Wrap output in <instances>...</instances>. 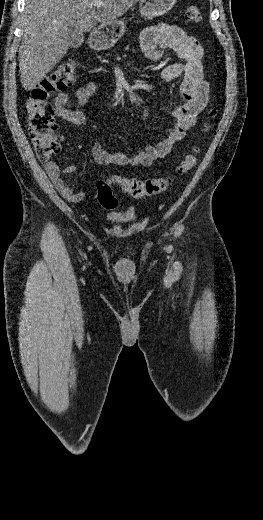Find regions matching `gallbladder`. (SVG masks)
I'll list each match as a JSON object with an SVG mask.
<instances>
[{"instance_id": "obj_1", "label": "gallbladder", "mask_w": 263, "mask_h": 520, "mask_svg": "<svg viewBox=\"0 0 263 520\" xmlns=\"http://www.w3.org/2000/svg\"><path fill=\"white\" fill-rule=\"evenodd\" d=\"M68 39L70 41V48H78L83 42V35L75 28H71L68 33Z\"/></svg>"}]
</instances>
